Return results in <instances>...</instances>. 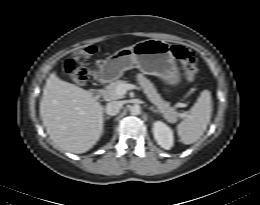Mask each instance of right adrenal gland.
I'll return each mask as SVG.
<instances>
[{
  "instance_id": "1",
  "label": "right adrenal gland",
  "mask_w": 260,
  "mask_h": 205,
  "mask_svg": "<svg viewBox=\"0 0 260 205\" xmlns=\"http://www.w3.org/2000/svg\"><path fill=\"white\" fill-rule=\"evenodd\" d=\"M111 117L110 116H107V117H105V120H109Z\"/></svg>"
}]
</instances>
